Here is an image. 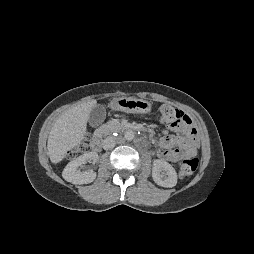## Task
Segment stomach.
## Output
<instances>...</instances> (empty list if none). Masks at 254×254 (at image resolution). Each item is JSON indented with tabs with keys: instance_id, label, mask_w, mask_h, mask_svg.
<instances>
[{
	"instance_id": "obj_1",
	"label": "stomach",
	"mask_w": 254,
	"mask_h": 254,
	"mask_svg": "<svg viewBox=\"0 0 254 254\" xmlns=\"http://www.w3.org/2000/svg\"><path fill=\"white\" fill-rule=\"evenodd\" d=\"M110 107L115 111H123L127 113H148L151 111L152 104L146 100L120 97L111 101Z\"/></svg>"
}]
</instances>
